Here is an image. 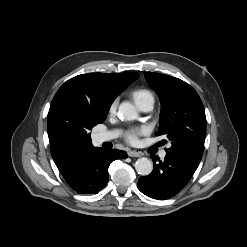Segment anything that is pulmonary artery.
I'll use <instances>...</instances> for the list:
<instances>
[{
    "instance_id": "e3ab8cb5",
    "label": "pulmonary artery",
    "mask_w": 247,
    "mask_h": 247,
    "mask_svg": "<svg viewBox=\"0 0 247 247\" xmlns=\"http://www.w3.org/2000/svg\"><path fill=\"white\" fill-rule=\"evenodd\" d=\"M138 108L143 111V112H149L152 108H153V104L151 102H145L141 105L138 106ZM119 134L118 131H114V132H106V133H100L97 136V139L99 142H105V141H109L115 137H117ZM161 158H165L166 156V151L163 150L160 153Z\"/></svg>"
}]
</instances>
